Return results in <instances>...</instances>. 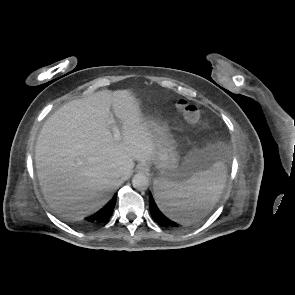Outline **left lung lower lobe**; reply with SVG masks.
Segmentation results:
<instances>
[{"label": "left lung lower lobe", "mask_w": 295, "mask_h": 295, "mask_svg": "<svg viewBox=\"0 0 295 295\" xmlns=\"http://www.w3.org/2000/svg\"><path fill=\"white\" fill-rule=\"evenodd\" d=\"M149 205H150V212L151 215L153 217V219L160 224L161 226H165V227H172V228H176L179 227V224H177L174 221H171L170 219H168L157 207V205L155 204L152 195H149Z\"/></svg>", "instance_id": "1"}]
</instances>
